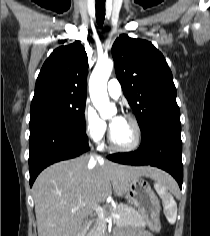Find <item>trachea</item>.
Returning <instances> with one entry per match:
<instances>
[{"instance_id":"1","label":"trachea","mask_w":210,"mask_h":236,"mask_svg":"<svg viewBox=\"0 0 210 236\" xmlns=\"http://www.w3.org/2000/svg\"><path fill=\"white\" fill-rule=\"evenodd\" d=\"M105 19V1L96 0V20L99 27H102Z\"/></svg>"}]
</instances>
